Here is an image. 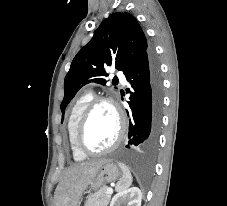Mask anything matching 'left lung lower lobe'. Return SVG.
<instances>
[{
    "instance_id": "0a47b994",
    "label": "left lung lower lobe",
    "mask_w": 227,
    "mask_h": 206,
    "mask_svg": "<svg viewBox=\"0 0 227 206\" xmlns=\"http://www.w3.org/2000/svg\"><path fill=\"white\" fill-rule=\"evenodd\" d=\"M132 91L126 148L150 152L157 146L161 125L162 80L151 49L125 74Z\"/></svg>"
}]
</instances>
